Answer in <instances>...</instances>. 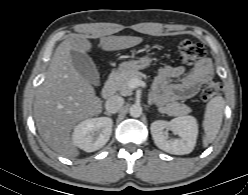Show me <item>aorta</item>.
Returning a JSON list of instances; mask_svg holds the SVG:
<instances>
[{
    "instance_id": "762f6f07",
    "label": "aorta",
    "mask_w": 248,
    "mask_h": 195,
    "mask_svg": "<svg viewBox=\"0 0 248 195\" xmlns=\"http://www.w3.org/2000/svg\"><path fill=\"white\" fill-rule=\"evenodd\" d=\"M129 113L132 117H140L142 115V107L139 104H133L130 109Z\"/></svg>"
}]
</instances>
